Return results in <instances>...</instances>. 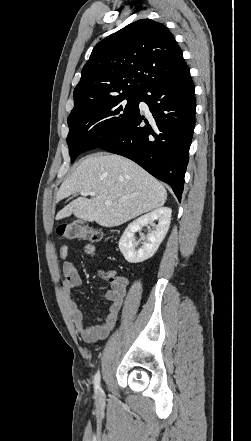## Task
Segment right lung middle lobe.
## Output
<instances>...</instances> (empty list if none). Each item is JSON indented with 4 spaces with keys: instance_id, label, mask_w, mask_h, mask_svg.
Listing matches in <instances>:
<instances>
[{
    "instance_id": "dd1d6c3e",
    "label": "right lung middle lobe",
    "mask_w": 251,
    "mask_h": 441,
    "mask_svg": "<svg viewBox=\"0 0 251 441\" xmlns=\"http://www.w3.org/2000/svg\"><path fill=\"white\" fill-rule=\"evenodd\" d=\"M140 95H119L81 104L68 117L71 162L118 134L138 110Z\"/></svg>"
}]
</instances>
